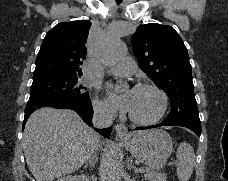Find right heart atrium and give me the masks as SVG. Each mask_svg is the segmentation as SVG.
<instances>
[{
	"instance_id": "right-heart-atrium-1",
	"label": "right heart atrium",
	"mask_w": 228,
	"mask_h": 181,
	"mask_svg": "<svg viewBox=\"0 0 228 181\" xmlns=\"http://www.w3.org/2000/svg\"><path fill=\"white\" fill-rule=\"evenodd\" d=\"M94 107L97 112L104 115H109L111 112L109 103L103 99H99V98L95 99Z\"/></svg>"
}]
</instances>
